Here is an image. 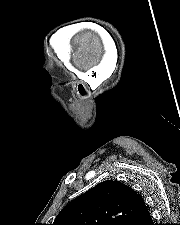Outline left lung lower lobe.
Wrapping results in <instances>:
<instances>
[{"label":"left lung lower lobe","instance_id":"left-lung-lower-lobe-1","mask_svg":"<svg viewBox=\"0 0 180 225\" xmlns=\"http://www.w3.org/2000/svg\"><path fill=\"white\" fill-rule=\"evenodd\" d=\"M127 225H154L150 213L146 208L143 212L139 215L134 217Z\"/></svg>","mask_w":180,"mask_h":225}]
</instances>
